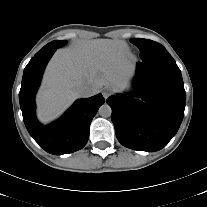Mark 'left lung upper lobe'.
Here are the masks:
<instances>
[{"label":"left lung upper lobe","instance_id":"left-lung-upper-lobe-1","mask_svg":"<svg viewBox=\"0 0 207 207\" xmlns=\"http://www.w3.org/2000/svg\"><path fill=\"white\" fill-rule=\"evenodd\" d=\"M130 41L140 49V58L142 60L171 56L164 46L155 41L143 38H132Z\"/></svg>","mask_w":207,"mask_h":207}]
</instances>
